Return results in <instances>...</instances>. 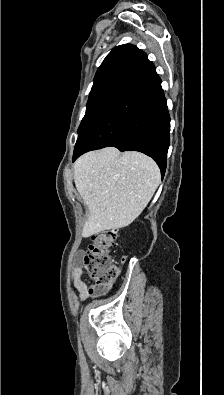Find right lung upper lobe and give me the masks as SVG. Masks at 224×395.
Returning a JSON list of instances; mask_svg holds the SVG:
<instances>
[{
  "label": "right lung upper lobe",
  "mask_w": 224,
  "mask_h": 395,
  "mask_svg": "<svg viewBox=\"0 0 224 395\" xmlns=\"http://www.w3.org/2000/svg\"><path fill=\"white\" fill-rule=\"evenodd\" d=\"M138 51L139 49L131 44H123L115 47L106 56V58L98 68L94 79H97L114 71H119L121 67Z\"/></svg>",
  "instance_id": "obj_1"
}]
</instances>
